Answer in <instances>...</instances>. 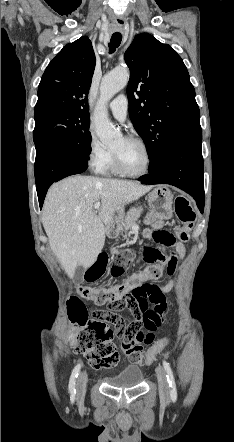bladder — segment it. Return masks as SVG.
I'll return each mask as SVG.
<instances>
[{
	"label": "bladder",
	"mask_w": 234,
	"mask_h": 442,
	"mask_svg": "<svg viewBox=\"0 0 234 442\" xmlns=\"http://www.w3.org/2000/svg\"><path fill=\"white\" fill-rule=\"evenodd\" d=\"M143 372L137 365H127L117 375L105 378V382L116 388H131L139 385Z\"/></svg>",
	"instance_id": "bladder-1"
}]
</instances>
